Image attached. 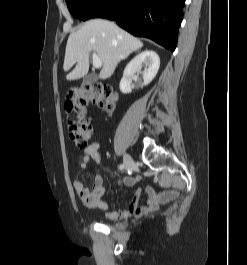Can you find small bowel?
I'll use <instances>...</instances> for the list:
<instances>
[{
	"label": "small bowel",
	"mask_w": 247,
	"mask_h": 265,
	"mask_svg": "<svg viewBox=\"0 0 247 265\" xmlns=\"http://www.w3.org/2000/svg\"><path fill=\"white\" fill-rule=\"evenodd\" d=\"M90 158H93L98 165L103 163V156L100 152V145L98 143H92L85 148L80 161V167L82 169L88 167ZM127 183L131 184L132 182L128 181ZM73 186L75 192L85 206L103 210L105 217L111 221L126 219L130 216H142L157 211L162 205L169 203L178 195L175 190L155 193L152 189H147V201L144 205H139L142 189L138 186L135 188L131 203L127 208L123 210H112L103 200L104 181L100 175L95 176L90 189L86 188L84 184L78 180L74 181Z\"/></svg>",
	"instance_id": "c3829d8e"
}]
</instances>
